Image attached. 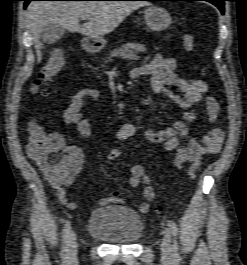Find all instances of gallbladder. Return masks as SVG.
I'll list each match as a JSON object with an SVG mask.
<instances>
[{
    "instance_id": "gallbladder-1",
    "label": "gallbladder",
    "mask_w": 247,
    "mask_h": 265,
    "mask_svg": "<svg viewBox=\"0 0 247 265\" xmlns=\"http://www.w3.org/2000/svg\"><path fill=\"white\" fill-rule=\"evenodd\" d=\"M65 31V28L62 26L48 24L43 28L41 38L46 44H53L64 36Z\"/></svg>"
}]
</instances>
